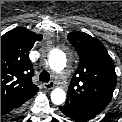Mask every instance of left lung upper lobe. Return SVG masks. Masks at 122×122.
I'll return each mask as SVG.
<instances>
[{"label":"left lung upper lobe","mask_w":122,"mask_h":122,"mask_svg":"<svg viewBox=\"0 0 122 122\" xmlns=\"http://www.w3.org/2000/svg\"><path fill=\"white\" fill-rule=\"evenodd\" d=\"M68 40L79 54V65L66 102L99 114L111 101L116 86L113 61L104 45L84 32L70 33Z\"/></svg>","instance_id":"5c2ea615"}]
</instances>
